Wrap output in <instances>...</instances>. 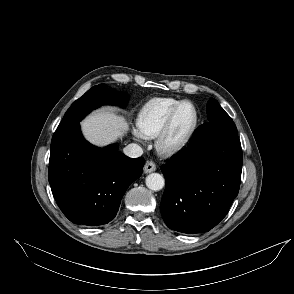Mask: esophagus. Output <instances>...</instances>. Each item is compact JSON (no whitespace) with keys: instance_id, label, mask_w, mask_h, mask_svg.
Here are the masks:
<instances>
[{"instance_id":"34e87169","label":"esophagus","mask_w":294,"mask_h":294,"mask_svg":"<svg viewBox=\"0 0 294 294\" xmlns=\"http://www.w3.org/2000/svg\"><path fill=\"white\" fill-rule=\"evenodd\" d=\"M156 170V165L153 161H147L144 165V172L151 173Z\"/></svg>"}]
</instances>
